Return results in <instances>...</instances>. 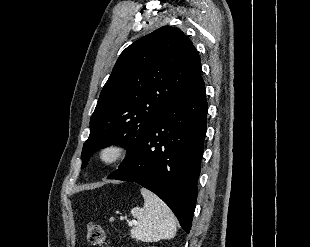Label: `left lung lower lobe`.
Returning a JSON list of instances; mask_svg holds the SVG:
<instances>
[{
    "label": "left lung lower lobe",
    "instance_id": "1",
    "mask_svg": "<svg viewBox=\"0 0 310 247\" xmlns=\"http://www.w3.org/2000/svg\"><path fill=\"white\" fill-rule=\"evenodd\" d=\"M207 110L205 85L199 75L162 112L137 152L108 176L154 192L187 233L196 206Z\"/></svg>",
    "mask_w": 310,
    "mask_h": 247
}]
</instances>
